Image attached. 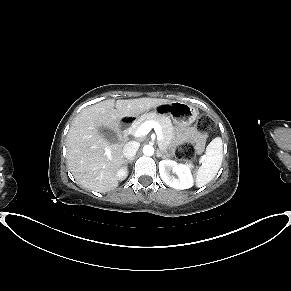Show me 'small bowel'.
<instances>
[{
  "label": "small bowel",
  "mask_w": 291,
  "mask_h": 291,
  "mask_svg": "<svg viewBox=\"0 0 291 291\" xmlns=\"http://www.w3.org/2000/svg\"><path fill=\"white\" fill-rule=\"evenodd\" d=\"M189 136H190V138L195 139L198 142H201L202 141L201 138H200V136L198 135V133H196L195 131H191L189 133Z\"/></svg>",
  "instance_id": "1"
}]
</instances>
